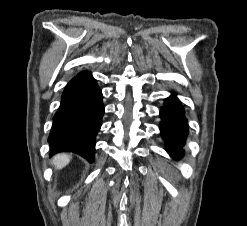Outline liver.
Here are the masks:
<instances>
[{"label":"liver","mask_w":247,"mask_h":226,"mask_svg":"<svg viewBox=\"0 0 247 226\" xmlns=\"http://www.w3.org/2000/svg\"><path fill=\"white\" fill-rule=\"evenodd\" d=\"M70 155L62 153L54 156L53 164L56 169H62L70 162Z\"/></svg>","instance_id":"1"}]
</instances>
